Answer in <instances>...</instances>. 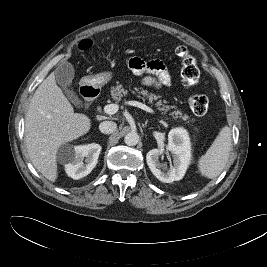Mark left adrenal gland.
Wrapping results in <instances>:
<instances>
[{
    "label": "left adrenal gland",
    "instance_id": "1",
    "mask_svg": "<svg viewBox=\"0 0 267 267\" xmlns=\"http://www.w3.org/2000/svg\"><path fill=\"white\" fill-rule=\"evenodd\" d=\"M142 126H143V127H146V126H147V122L145 123V125L143 124Z\"/></svg>",
    "mask_w": 267,
    "mask_h": 267
}]
</instances>
